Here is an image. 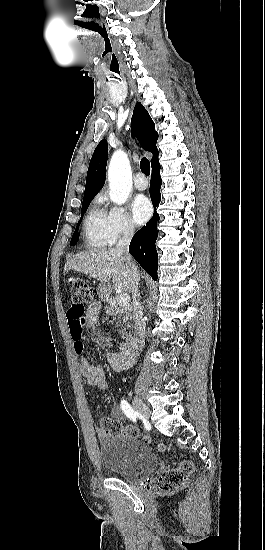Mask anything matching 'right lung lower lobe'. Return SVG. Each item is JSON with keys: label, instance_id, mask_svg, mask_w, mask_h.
<instances>
[{"label": "right lung lower lobe", "instance_id": "98d812e1", "mask_svg": "<svg viewBox=\"0 0 265 550\" xmlns=\"http://www.w3.org/2000/svg\"><path fill=\"white\" fill-rule=\"evenodd\" d=\"M162 180L160 177V164L155 163L152 166V175L150 183V196L154 206V210L160 202V188ZM159 214L155 211L152 219L142 227L132 238L129 252L141 265V267L151 275L154 280H157L158 255L156 251V238L158 236L157 222Z\"/></svg>", "mask_w": 265, "mask_h": 550}]
</instances>
